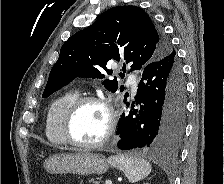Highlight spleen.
<instances>
[{
  "instance_id": "3e777b00",
  "label": "spleen",
  "mask_w": 224,
  "mask_h": 184,
  "mask_svg": "<svg viewBox=\"0 0 224 184\" xmlns=\"http://www.w3.org/2000/svg\"><path fill=\"white\" fill-rule=\"evenodd\" d=\"M108 162L124 172L126 177L131 183L138 182L147 177L152 170L151 164L143 158L128 156V155H116L110 156Z\"/></svg>"
}]
</instances>
